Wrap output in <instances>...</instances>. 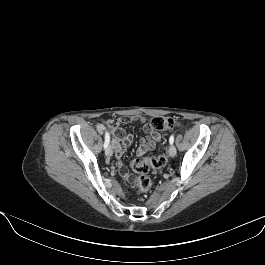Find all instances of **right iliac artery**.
<instances>
[{"mask_svg": "<svg viewBox=\"0 0 265 265\" xmlns=\"http://www.w3.org/2000/svg\"><path fill=\"white\" fill-rule=\"evenodd\" d=\"M109 143H110V136H109V133L106 132L105 133L104 149H106L108 147Z\"/></svg>", "mask_w": 265, "mask_h": 265, "instance_id": "right-iliac-artery-1", "label": "right iliac artery"}]
</instances>
